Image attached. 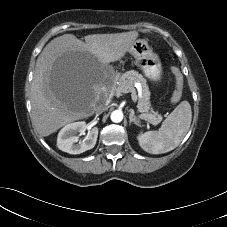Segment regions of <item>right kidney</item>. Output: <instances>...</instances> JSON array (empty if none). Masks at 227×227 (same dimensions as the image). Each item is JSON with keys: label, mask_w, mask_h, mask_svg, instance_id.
<instances>
[{"label": "right kidney", "mask_w": 227, "mask_h": 227, "mask_svg": "<svg viewBox=\"0 0 227 227\" xmlns=\"http://www.w3.org/2000/svg\"><path fill=\"white\" fill-rule=\"evenodd\" d=\"M86 129L87 125L84 121L74 122L64 126L58 133V148L69 154H80L92 149L97 141L98 128L93 127L90 129L86 137L78 142L77 134L84 135Z\"/></svg>", "instance_id": "right-kidney-1"}]
</instances>
